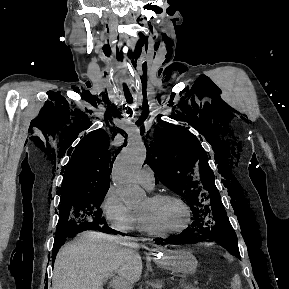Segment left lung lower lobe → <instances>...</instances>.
Listing matches in <instances>:
<instances>
[{
  "mask_svg": "<svg viewBox=\"0 0 289 289\" xmlns=\"http://www.w3.org/2000/svg\"><path fill=\"white\" fill-rule=\"evenodd\" d=\"M211 238L215 240L213 231L209 228L200 227H190L187 228L183 233L178 236L170 237L165 240L168 244H191L195 243L197 240Z\"/></svg>",
  "mask_w": 289,
  "mask_h": 289,
  "instance_id": "0a47b994",
  "label": "left lung lower lobe"
}]
</instances>
